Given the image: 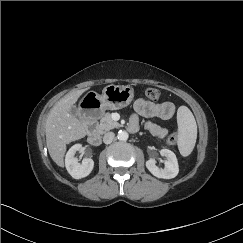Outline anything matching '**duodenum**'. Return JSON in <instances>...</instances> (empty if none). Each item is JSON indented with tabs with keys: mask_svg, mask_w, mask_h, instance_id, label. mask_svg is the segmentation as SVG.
<instances>
[{
	"mask_svg": "<svg viewBox=\"0 0 243 243\" xmlns=\"http://www.w3.org/2000/svg\"><path fill=\"white\" fill-rule=\"evenodd\" d=\"M87 140L89 144L93 146H99L102 142L101 136L97 130V124L94 122H88L87 123Z\"/></svg>",
	"mask_w": 243,
	"mask_h": 243,
	"instance_id": "obj_1",
	"label": "duodenum"
}]
</instances>
